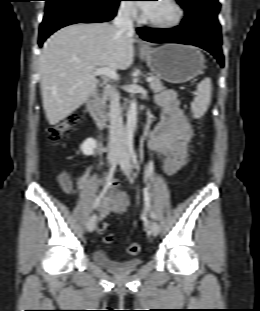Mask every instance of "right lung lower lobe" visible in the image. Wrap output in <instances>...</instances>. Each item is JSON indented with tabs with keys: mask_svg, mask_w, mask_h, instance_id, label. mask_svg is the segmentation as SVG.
I'll use <instances>...</instances> for the list:
<instances>
[{
	"mask_svg": "<svg viewBox=\"0 0 260 311\" xmlns=\"http://www.w3.org/2000/svg\"><path fill=\"white\" fill-rule=\"evenodd\" d=\"M39 31V46L56 30L75 23L106 22L116 15L118 2L108 5L98 0H46Z\"/></svg>",
	"mask_w": 260,
	"mask_h": 311,
	"instance_id": "right-lung-lower-lobe-1",
	"label": "right lung lower lobe"
}]
</instances>
